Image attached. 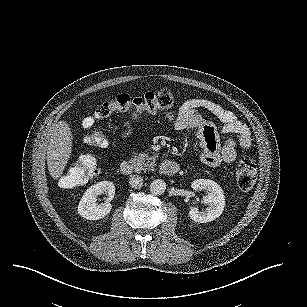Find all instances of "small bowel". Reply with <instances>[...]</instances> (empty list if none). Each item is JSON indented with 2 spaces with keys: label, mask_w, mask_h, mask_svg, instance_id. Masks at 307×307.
<instances>
[{
  "label": "small bowel",
  "mask_w": 307,
  "mask_h": 307,
  "mask_svg": "<svg viewBox=\"0 0 307 307\" xmlns=\"http://www.w3.org/2000/svg\"><path fill=\"white\" fill-rule=\"evenodd\" d=\"M200 110H206L214 115L221 123L218 128L211 122L203 119ZM147 116L140 111L130 114L120 133L122 138H128L132 133L131 122ZM165 118L176 130H196L202 148V161L212 167L222 163L230 164L237 156L236 147L249 149L252 145L250 131L238 117L230 110L207 99H189L176 111L165 113ZM222 134L231 135L224 144L220 141Z\"/></svg>",
  "instance_id": "small-bowel-1"
}]
</instances>
